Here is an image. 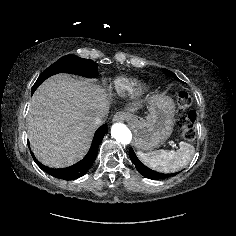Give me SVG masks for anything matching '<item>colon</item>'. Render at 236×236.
<instances>
[{"label":"colon","mask_w":236,"mask_h":236,"mask_svg":"<svg viewBox=\"0 0 236 236\" xmlns=\"http://www.w3.org/2000/svg\"><path fill=\"white\" fill-rule=\"evenodd\" d=\"M177 102L181 113L179 126L182 136L188 141H194L196 114L193 111L186 112L192 105V98L186 90H181Z\"/></svg>","instance_id":"colon-1"}]
</instances>
